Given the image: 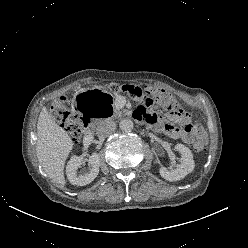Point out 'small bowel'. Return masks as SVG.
I'll list each match as a JSON object with an SVG mask.
<instances>
[{
  "label": "small bowel",
  "mask_w": 248,
  "mask_h": 248,
  "mask_svg": "<svg viewBox=\"0 0 248 248\" xmlns=\"http://www.w3.org/2000/svg\"><path fill=\"white\" fill-rule=\"evenodd\" d=\"M135 116L139 120H144L153 125L156 129L164 131L170 137L181 139L187 144L198 140H206L205 131L201 127L191 124L188 114L187 116H173V120L180 126L169 123L162 124L157 114L149 112L143 107L137 109Z\"/></svg>",
  "instance_id": "c3829d8e"
}]
</instances>
